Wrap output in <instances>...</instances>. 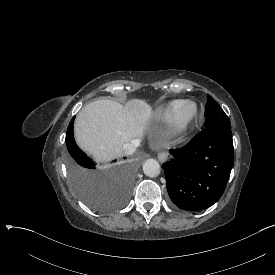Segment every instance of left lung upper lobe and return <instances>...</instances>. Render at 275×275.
Returning a JSON list of instances; mask_svg holds the SVG:
<instances>
[{
  "mask_svg": "<svg viewBox=\"0 0 275 275\" xmlns=\"http://www.w3.org/2000/svg\"><path fill=\"white\" fill-rule=\"evenodd\" d=\"M205 117V129L218 126L231 127L230 120L228 119L224 111L221 109V107L210 95H207Z\"/></svg>",
  "mask_w": 275,
  "mask_h": 275,
  "instance_id": "obj_1",
  "label": "left lung upper lobe"
}]
</instances>
